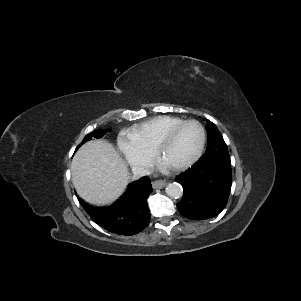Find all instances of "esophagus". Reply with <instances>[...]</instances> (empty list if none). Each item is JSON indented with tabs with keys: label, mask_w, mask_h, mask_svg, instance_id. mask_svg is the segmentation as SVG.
I'll list each match as a JSON object with an SVG mask.
<instances>
[{
	"label": "esophagus",
	"mask_w": 301,
	"mask_h": 301,
	"mask_svg": "<svg viewBox=\"0 0 301 301\" xmlns=\"http://www.w3.org/2000/svg\"><path fill=\"white\" fill-rule=\"evenodd\" d=\"M167 181L166 180H156L153 182V188L155 189H161L163 187H165L167 185Z\"/></svg>",
	"instance_id": "1"
}]
</instances>
